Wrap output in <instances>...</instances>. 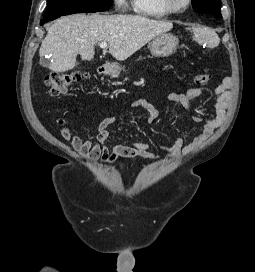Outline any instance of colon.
<instances>
[{
  "label": "colon",
  "mask_w": 255,
  "mask_h": 272,
  "mask_svg": "<svg viewBox=\"0 0 255 272\" xmlns=\"http://www.w3.org/2000/svg\"><path fill=\"white\" fill-rule=\"evenodd\" d=\"M85 75L80 72H56L46 78L48 91L52 96H59L66 93L74 84L78 83ZM211 79L209 74H197L194 77L196 85L207 84Z\"/></svg>",
  "instance_id": "colon-1"
}]
</instances>
